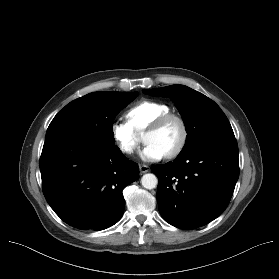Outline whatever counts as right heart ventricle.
<instances>
[{
  "mask_svg": "<svg viewBox=\"0 0 279 279\" xmlns=\"http://www.w3.org/2000/svg\"><path fill=\"white\" fill-rule=\"evenodd\" d=\"M170 112L169 106L154 100H142L133 105L127 112L126 118L132 129L141 133L159 116Z\"/></svg>",
  "mask_w": 279,
  "mask_h": 279,
  "instance_id": "e07e8e85",
  "label": "right heart ventricle"
}]
</instances>
